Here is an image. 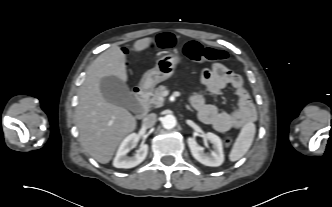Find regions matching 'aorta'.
<instances>
[{"instance_id": "aorta-1", "label": "aorta", "mask_w": 332, "mask_h": 207, "mask_svg": "<svg viewBox=\"0 0 332 207\" xmlns=\"http://www.w3.org/2000/svg\"><path fill=\"white\" fill-rule=\"evenodd\" d=\"M177 121L173 115H166L162 118V125L165 129H172L176 126Z\"/></svg>"}]
</instances>
